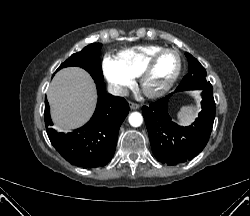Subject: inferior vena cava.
Here are the masks:
<instances>
[{"instance_id":"602c4592","label":"inferior vena cava","mask_w":250,"mask_h":216,"mask_svg":"<svg viewBox=\"0 0 250 216\" xmlns=\"http://www.w3.org/2000/svg\"><path fill=\"white\" fill-rule=\"evenodd\" d=\"M108 92L115 96H127L128 89L117 84H108Z\"/></svg>"}]
</instances>
